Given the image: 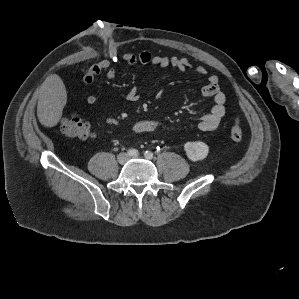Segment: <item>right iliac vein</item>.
<instances>
[{"label":"right iliac vein","mask_w":299,"mask_h":299,"mask_svg":"<svg viewBox=\"0 0 299 299\" xmlns=\"http://www.w3.org/2000/svg\"><path fill=\"white\" fill-rule=\"evenodd\" d=\"M128 154H126V153H120L119 155H118V162L120 163V164H124L127 160H128Z\"/></svg>","instance_id":"right-iliac-vein-1"}]
</instances>
